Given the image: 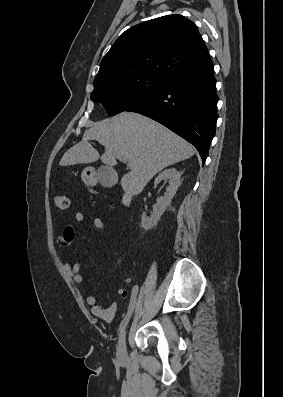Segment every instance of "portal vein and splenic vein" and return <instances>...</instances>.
<instances>
[{"label": "portal vein and splenic vein", "mask_w": 283, "mask_h": 397, "mask_svg": "<svg viewBox=\"0 0 283 397\" xmlns=\"http://www.w3.org/2000/svg\"><path fill=\"white\" fill-rule=\"evenodd\" d=\"M120 161H121V162H127V160H126V159H123V158H120Z\"/></svg>", "instance_id": "1"}]
</instances>
